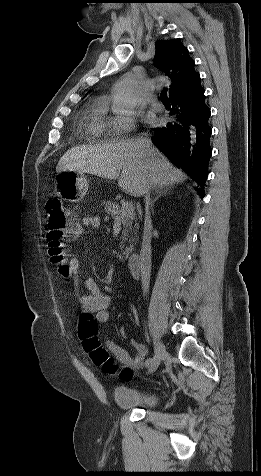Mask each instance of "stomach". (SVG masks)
<instances>
[{
	"instance_id": "obj_1",
	"label": "stomach",
	"mask_w": 261,
	"mask_h": 476,
	"mask_svg": "<svg viewBox=\"0 0 261 476\" xmlns=\"http://www.w3.org/2000/svg\"><path fill=\"white\" fill-rule=\"evenodd\" d=\"M55 181L62 197L71 202L81 200L88 191V182L82 172L61 171L57 173Z\"/></svg>"
}]
</instances>
